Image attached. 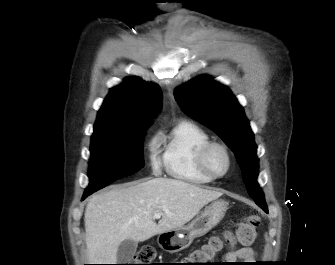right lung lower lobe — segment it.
<instances>
[{
	"label": "right lung lower lobe",
	"instance_id": "1",
	"mask_svg": "<svg viewBox=\"0 0 335 265\" xmlns=\"http://www.w3.org/2000/svg\"><path fill=\"white\" fill-rule=\"evenodd\" d=\"M90 194H84L82 200H84Z\"/></svg>",
	"mask_w": 335,
	"mask_h": 265
}]
</instances>
